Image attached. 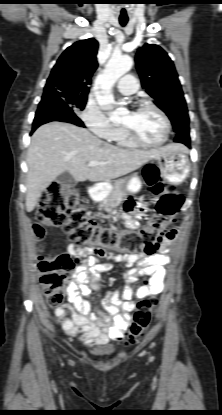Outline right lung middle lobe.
<instances>
[{"mask_svg": "<svg viewBox=\"0 0 222 415\" xmlns=\"http://www.w3.org/2000/svg\"><path fill=\"white\" fill-rule=\"evenodd\" d=\"M59 97L63 100L71 109H80L83 110L85 108L87 102V95H77L71 92H58ZM48 98L42 97L40 104L47 101Z\"/></svg>", "mask_w": 222, "mask_h": 415, "instance_id": "obj_1", "label": "right lung middle lobe"}]
</instances>
